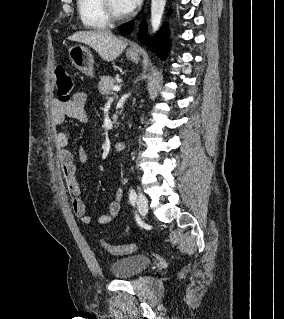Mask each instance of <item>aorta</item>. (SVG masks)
Wrapping results in <instances>:
<instances>
[{"label":"aorta","mask_w":284,"mask_h":319,"mask_svg":"<svg viewBox=\"0 0 284 319\" xmlns=\"http://www.w3.org/2000/svg\"><path fill=\"white\" fill-rule=\"evenodd\" d=\"M166 0H151V26L152 31L155 33L159 30Z\"/></svg>","instance_id":"1"}]
</instances>
